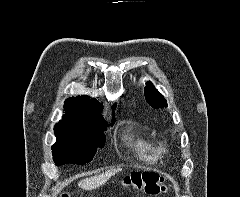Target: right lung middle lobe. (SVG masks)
<instances>
[{
    "instance_id": "obj_1",
    "label": "right lung middle lobe",
    "mask_w": 240,
    "mask_h": 197,
    "mask_svg": "<svg viewBox=\"0 0 240 197\" xmlns=\"http://www.w3.org/2000/svg\"><path fill=\"white\" fill-rule=\"evenodd\" d=\"M56 143L52 146L53 160L57 166L67 163L85 164L92 160L97 147L105 143L106 125L73 127L55 125Z\"/></svg>"
}]
</instances>
